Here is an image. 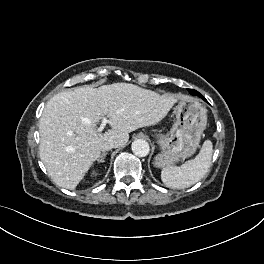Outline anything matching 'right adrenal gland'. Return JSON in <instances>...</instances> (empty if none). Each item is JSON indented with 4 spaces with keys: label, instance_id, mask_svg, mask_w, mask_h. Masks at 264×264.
Masks as SVG:
<instances>
[{
    "label": "right adrenal gland",
    "instance_id": "right-adrenal-gland-1",
    "mask_svg": "<svg viewBox=\"0 0 264 264\" xmlns=\"http://www.w3.org/2000/svg\"><path fill=\"white\" fill-rule=\"evenodd\" d=\"M107 153L103 152L100 157L97 159V162L98 163H103L104 162V159L106 157Z\"/></svg>",
    "mask_w": 264,
    "mask_h": 264
}]
</instances>
